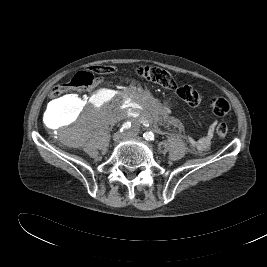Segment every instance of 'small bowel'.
<instances>
[{"label": "small bowel", "mask_w": 267, "mask_h": 267, "mask_svg": "<svg viewBox=\"0 0 267 267\" xmlns=\"http://www.w3.org/2000/svg\"><path fill=\"white\" fill-rule=\"evenodd\" d=\"M214 124H211L207 130V133L200 139L192 140L191 144L200 152L206 151L211 143V139L214 133Z\"/></svg>", "instance_id": "c3829d8e"}]
</instances>
